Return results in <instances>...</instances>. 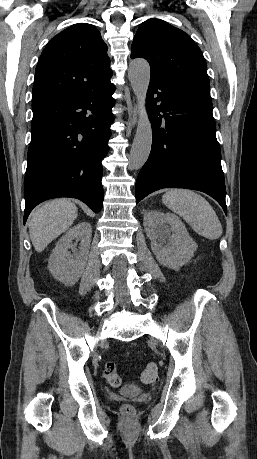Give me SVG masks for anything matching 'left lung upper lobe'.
I'll return each instance as SVG.
<instances>
[{
	"mask_svg": "<svg viewBox=\"0 0 257 459\" xmlns=\"http://www.w3.org/2000/svg\"><path fill=\"white\" fill-rule=\"evenodd\" d=\"M131 49V58L141 57L149 62L151 79L166 83H210L200 48L187 33L163 20L143 22Z\"/></svg>",
	"mask_w": 257,
	"mask_h": 459,
	"instance_id": "5c2ea615",
	"label": "left lung upper lobe"
}]
</instances>
